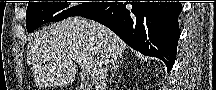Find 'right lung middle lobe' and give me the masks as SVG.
Listing matches in <instances>:
<instances>
[{
  "label": "right lung middle lobe",
  "instance_id": "dd1d6c3e",
  "mask_svg": "<svg viewBox=\"0 0 216 90\" xmlns=\"http://www.w3.org/2000/svg\"><path fill=\"white\" fill-rule=\"evenodd\" d=\"M101 4L102 2H86L68 8V2H29L26 12L27 32L30 33L48 22H58L71 16H81Z\"/></svg>",
  "mask_w": 216,
  "mask_h": 90
}]
</instances>
